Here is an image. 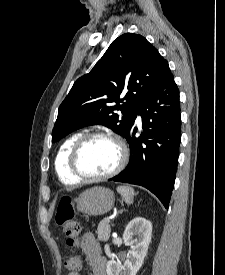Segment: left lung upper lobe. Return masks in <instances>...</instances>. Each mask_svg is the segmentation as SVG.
Instances as JSON below:
<instances>
[{
    "mask_svg": "<svg viewBox=\"0 0 225 275\" xmlns=\"http://www.w3.org/2000/svg\"><path fill=\"white\" fill-rule=\"evenodd\" d=\"M169 70L168 62L143 36L126 33L116 38L60 105L52 142L94 124L125 137L141 103ZM119 110L122 116L116 114Z\"/></svg>",
    "mask_w": 225,
    "mask_h": 275,
    "instance_id": "5c2ea615",
    "label": "left lung upper lobe"
}]
</instances>
